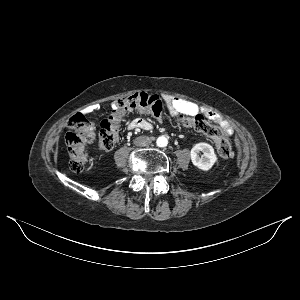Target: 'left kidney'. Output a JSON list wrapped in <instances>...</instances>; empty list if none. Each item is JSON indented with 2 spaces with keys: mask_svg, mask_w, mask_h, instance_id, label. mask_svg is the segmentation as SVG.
Wrapping results in <instances>:
<instances>
[{
  "mask_svg": "<svg viewBox=\"0 0 300 300\" xmlns=\"http://www.w3.org/2000/svg\"><path fill=\"white\" fill-rule=\"evenodd\" d=\"M200 152L203 154L200 156ZM190 157L193 165L203 171H208L217 161V156L213 147L208 143H197L190 151Z\"/></svg>",
  "mask_w": 300,
  "mask_h": 300,
  "instance_id": "left-kidney-1",
  "label": "left kidney"
}]
</instances>
